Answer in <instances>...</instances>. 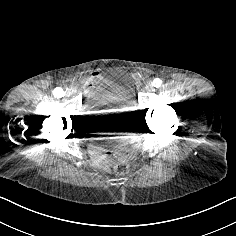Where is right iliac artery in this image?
<instances>
[{"label": "right iliac artery", "mask_w": 236, "mask_h": 236, "mask_svg": "<svg viewBox=\"0 0 236 236\" xmlns=\"http://www.w3.org/2000/svg\"><path fill=\"white\" fill-rule=\"evenodd\" d=\"M53 95L56 98H61V97H63L65 95V92L63 91V89L61 87H56L53 90Z\"/></svg>", "instance_id": "right-iliac-artery-1"}]
</instances>
